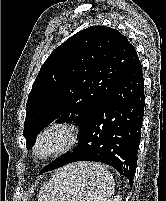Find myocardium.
Masks as SVG:
<instances>
[{
	"instance_id": "myocardium-1",
	"label": "myocardium",
	"mask_w": 166,
	"mask_h": 201,
	"mask_svg": "<svg viewBox=\"0 0 166 201\" xmlns=\"http://www.w3.org/2000/svg\"><path fill=\"white\" fill-rule=\"evenodd\" d=\"M54 133L62 136L60 145L47 148L46 142ZM78 131L76 126L67 122H52L42 128L35 138L32 148L33 157L39 161H46L60 157L69 152L77 142Z\"/></svg>"
}]
</instances>
